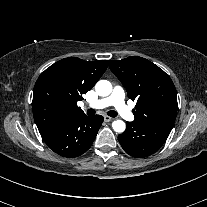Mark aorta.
Listing matches in <instances>:
<instances>
[{
	"instance_id": "1",
	"label": "aorta",
	"mask_w": 207,
	"mask_h": 207,
	"mask_svg": "<svg viewBox=\"0 0 207 207\" xmlns=\"http://www.w3.org/2000/svg\"><path fill=\"white\" fill-rule=\"evenodd\" d=\"M95 90L99 96H108L112 92V84L107 80H100L96 83ZM112 127L115 132L122 133L125 131L126 125L122 120H115Z\"/></svg>"
}]
</instances>
